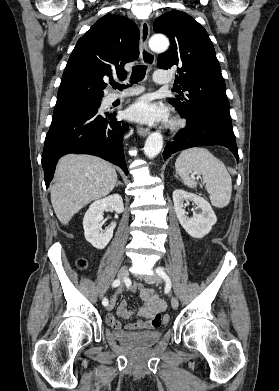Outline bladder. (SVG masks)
Returning <instances> with one entry per match:
<instances>
[{"mask_svg":"<svg viewBox=\"0 0 279 391\" xmlns=\"http://www.w3.org/2000/svg\"><path fill=\"white\" fill-rule=\"evenodd\" d=\"M114 338L123 345L132 349H141L157 343L162 335L159 330L123 331L114 330Z\"/></svg>","mask_w":279,"mask_h":391,"instance_id":"bladder-1","label":"bladder"}]
</instances>
